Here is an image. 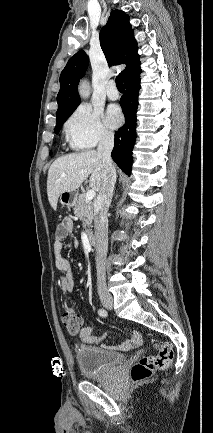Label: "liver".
Segmentation results:
<instances>
[{"mask_svg": "<svg viewBox=\"0 0 213 433\" xmlns=\"http://www.w3.org/2000/svg\"><path fill=\"white\" fill-rule=\"evenodd\" d=\"M89 175L90 187L99 193L103 181V162L95 150L72 153L56 159L50 166L47 177V195L51 207L56 209L59 196L78 189Z\"/></svg>", "mask_w": 213, "mask_h": 433, "instance_id": "1", "label": "liver"}]
</instances>
